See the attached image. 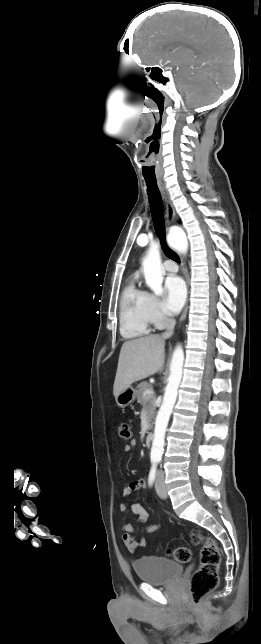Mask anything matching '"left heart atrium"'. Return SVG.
Returning a JSON list of instances; mask_svg holds the SVG:
<instances>
[{
	"label": "left heart atrium",
	"mask_w": 261,
	"mask_h": 644,
	"mask_svg": "<svg viewBox=\"0 0 261 644\" xmlns=\"http://www.w3.org/2000/svg\"><path fill=\"white\" fill-rule=\"evenodd\" d=\"M164 288V309L171 315L177 314L181 310L185 302V284L179 276L172 275L166 279Z\"/></svg>",
	"instance_id": "1"
}]
</instances>
